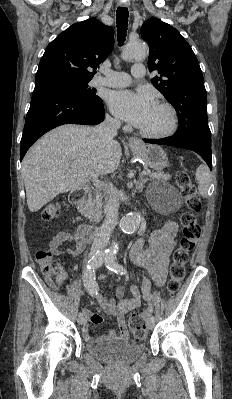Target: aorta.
<instances>
[{
    "instance_id": "762f6f07",
    "label": "aorta",
    "mask_w": 232,
    "mask_h": 399,
    "mask_svg": "<svg viewBox=\"0 0 232 399\" xmlns=\"http://www.w3.org/2000/svg\"><path fill=\"white\" fill-rule=\"evenodd\" d=\"M147 45L141 41L131 42L126 45L122 52L124 60H142L146 57ZM141 221V215L138 212L126 214L120 221V227L124 233H134L137 231ZM118 250L115 245L110 248L109 253L114 254Z\"/></svg>"
}]
</instances>
